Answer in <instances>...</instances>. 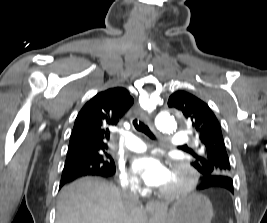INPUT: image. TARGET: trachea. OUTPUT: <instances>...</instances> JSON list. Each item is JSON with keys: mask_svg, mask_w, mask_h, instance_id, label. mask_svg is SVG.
Instances as JSON below:
<instances>
[{"mask_svg": "<svg viewBox=\"0 0 267 223\" xmlns=\"http://www.w3.org/2000/svg\"><path fill=\"white\" fill-rule=\"evenodd\" d=\"M133 126L138 132H142L146 134L151 139H156L154 134L149 129V127L143 121H140V120L138 121V119L135 118L133 120Z\"/></svg>", "mask_w": 267, "mask_h": 223, "instance_id": "3493384b", "label": "trachea"}]
</instances>
